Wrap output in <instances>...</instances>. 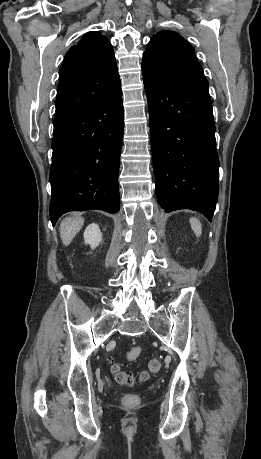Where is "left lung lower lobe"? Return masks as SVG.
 <instances>
[{
  "mask_svg": "<svg viewBox=\"0 0 261 459\" xmlns=\"http://www.w3.org/2000/svg\"><path fill=\"white\" fill-rule=\"evenodd\" d=\"M142 73L158 202L167 213L191 209L211 221L218 199L219 159L209 88Z\"/></svg>",
  "mask_w": 261,
  "mask_h": 459,
  "instance_id": "obj_1",
  "label": "left lung lower lobe"
}]
</instances>
